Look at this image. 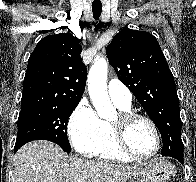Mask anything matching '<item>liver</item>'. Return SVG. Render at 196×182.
Masks as SVG:
<instances>
[{
	"instance_id": "obj_1",
	"label": "liver",
	"mask_w": 196,
	"mask_h": 182,
	"mask_svg": "<svg viewBox=\"0 0 196 182\" xmlns=\"http://www.w3.org/2000/svg\"><path fill=\"white\" fill-rule=\"evenodd\" d=\"M14 182H125L136 166L91 161L67 155L49 141L24 145L13 159Z\"/></svg>"
}]
</instances>
